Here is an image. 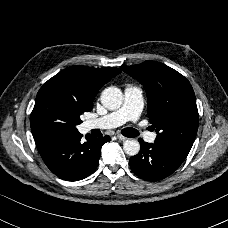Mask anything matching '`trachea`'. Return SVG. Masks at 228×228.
Masks as SVG:
<instances>
[{
	"label": "trachea",
	"instance_id": "obj_1",
	"mask_svg": "<svg viewBox=\"0 0 228 228\" xmlns=\"http://www.w3.org/2000/svg\"><path fill=\"white\" fill-rule=\"evenodd\" d=\"M121 133L125 137H136L138 135L137 130L133 129V128H124V129L121 130Z\"/></svg>",
	"mask_w": 228,
	"mask_h": 228
}]
</instances>
